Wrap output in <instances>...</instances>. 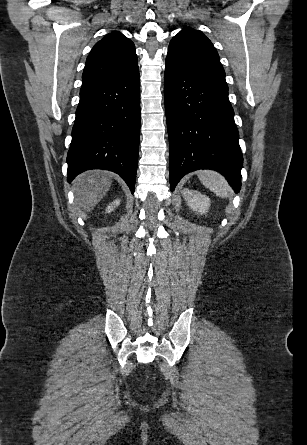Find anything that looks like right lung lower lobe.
<instances>
[{"mask_svg": "<svg viewBox=\"0 0 307 445\" xmlns=\"http://www.w3.org/2000/svg\"><path fill=\"white\" fill-rule=\"evenodd\" d=\"M140 136L138 65L103 81L84 84L67 155L68 182L88 169L119 174L134 192Z\"/></svg>", "mask_w": 307, "mask_h": 445, "instance_id": "obj_1", "label": "right lung lower lobe"}]
</instances>
